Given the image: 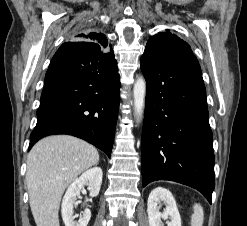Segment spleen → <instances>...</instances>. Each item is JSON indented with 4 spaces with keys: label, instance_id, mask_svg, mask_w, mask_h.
Returning a JSON list of instances; mask_svg holds the SVG:
<instances>
[{
    "label": "spleen",
    "instance_id": "obj_1",
    "mask_svg": "<svg viewBox=\"0 0 247 226\" xmlns=\"http://www.w3.org/2000/svg\"><path fill=\"white\" fill-rule=\"evenodd\" d=\"M193 214L191 216V226H202L204 221V212L200 204L193 206Z\"/></svg>",
    "mask_w": 247,
    "mask_h": 226
}]
</instances>
